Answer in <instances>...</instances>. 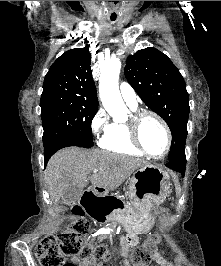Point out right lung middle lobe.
<instances>
[{
    "mask_svg": "<svg viewBox=\"0 0 221 266\" xmlns=\"http://www.w3.org/2000/svg\"><path fill=\"white\" fill-rule=\"evenodd\" d=\"M44 152L67 146H93L91 122L98 107L62 92H43L40 100Z\"/></svg>",
    "mask_w": 221,
    "mask_h": 266,
    "instance_id": "1",
    "label": "right lung middle lobe"
}]
</instances>
